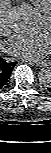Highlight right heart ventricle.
<instances>
[{
	"label": "right heart ventricle",
	"instance_id": "obj_1",
	"mask_svg": "<svg viewBox=\"0 0 51 153\" xmlns=\"http://www.w3.org/2000/svg\"><path fill=\"white\" fill-rule=\"evenodd\" d=\"M40 12L45 13L51 9V0H30Z\"/></svg>",
	"mask_w": 51,
	"mask_h": 153
}]
</instances>
